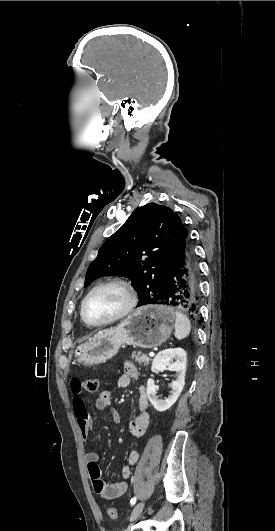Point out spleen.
I'll list each match as a JSON object with an SVG mask.
<instances>
[{
  "instance_id": "obj_1",
  "label": "spleen",
  "mask_w": 275,
  "mask_h": 531,
  "mask_svg": "<svg viewBox=\"0 0 275 531\" xmlns=\"http://www.w3.org/2000/svg\"><path fill=\"white\" fill-rule=\"evenodd\" d=\"M191 323L184 313L181 311H176L175 313V337L176 339H185L190 335Z\"/></svg>"
}]
</instances>
